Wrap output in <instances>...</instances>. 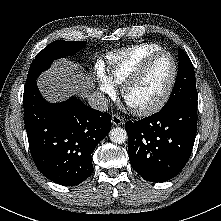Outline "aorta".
I'll return each mask as SVG.
<instances>
[{"instance_id":"1","label":"aorta","mask_w":221,"mask_h":221,"mask_svg":"<svg viewBox=\"0 0 221 221\" xmlns=\"http://www.w3.org/2000/svg\"><path fill=\"white\" fill-rule=\"evenodd\" d=\"M110 140L116 144H122L127 140V132L121 127H114L109 133Z\"/></svg>"}]
</instances>
